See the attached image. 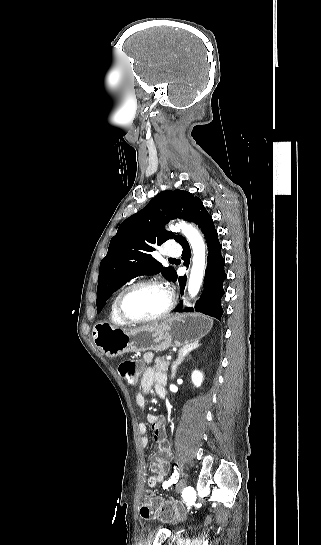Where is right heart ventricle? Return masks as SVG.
Here are the masks:
<instances>
[{"label":"right heart ventricle","mask_w":321,"mask_h":545,"mask_svg":"<svg viewBox=\"0 0 321 545\" xmlns=\"http://www.w3.org/2000/svg\"><path fill=\"white\" fill-rule=\"evenodd\" d=\"M117 295L116 294L111 302H110V305H109V311H108V318H109V321L111 323L112 326L114 327H124L125 324H123L121 322V320L119 319L118 315H117V312H116V298H117Z\"/></svg>","instance_id":"1"}]
</instances>
